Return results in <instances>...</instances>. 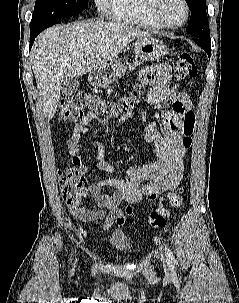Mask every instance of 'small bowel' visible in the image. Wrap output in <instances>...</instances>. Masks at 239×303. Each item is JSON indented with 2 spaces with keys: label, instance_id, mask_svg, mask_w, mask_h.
<instances>
[{
  "label": "small bowel",
  "instance_id": "c3829d8e",
  "mask_svg": "<svg viewBox=\"0 0 239 303\" xmlns=\"http://www.w3.org/2000/svg\"><path fill=\"white\" fill-rule=\"evenodd\" d=\"M170 72L169 64L153 65L143 70L138 78L140 85L150 86L147 99L150 106L163 102L172 104V110L162 115L164 132H161L153 122L144 124L145 138L153 145L156 160L130 168L127 171V178L111 177L89 184L87 189L80 194V199L91 196L99 209H89L78 200L76 204L69 206V212L79 221L87 223L104 219L102 228L105 231L115 226H121L124 223V216L118 208L121 201L138 203L144 197L154 200L160 194L173 190L180 184L183 178L186 153L181 138L180 117L188 108L189 99L177 87L169 85ZM95 121L104 122L94 113H86L75 126L67 142L72 162L82 175L90 170V166L84 164L80 156L81 138L90 131V126ZM105 152L106 144L99 141L94 167L113 173L115 167L104 160ZM104 188H111L114 192L104 194L102 193Z\"/></svg>",
  "mask_w": 239,
  "mask_h": 303
}]
</instances>
